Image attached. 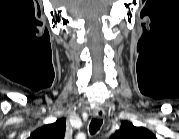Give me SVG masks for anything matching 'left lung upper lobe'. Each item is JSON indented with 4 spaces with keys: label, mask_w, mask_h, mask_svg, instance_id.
<instances>
[{
    "label": "left lung upper lobe",
    "mask_w": 179,
    "mask_h": 139,
    "mask_svg": "<svg viewBox=\"0 0 179 139\" xmlns=\"http://www.w3.org/2000/svg\"><path fill=\"white\" fill-rule=\"evenodd\" d=\"M153 134L143 127H135L130 122H124L121 128L115 132L114 139H147L152 138Z\"/></svg>",
    "instance_id": "5c2ea615"
}]
</instances>
